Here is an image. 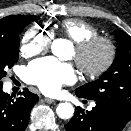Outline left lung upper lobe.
Listing matches in <instances>:
<instances>
[{"label":"left lung upper lobe","mask_w":131,"mask_h":131,"mask_svg":"<svg viewBox=\"0 0 131 131\" xmlns=\"http://www.w3.org/2000/svg\"><path fill=\"white\" fill-rule=\"evenodd\" d=\"M116 57L98 79L76 89V95L108 104L131 119V37L115 31Z\"/></svg>","instance_id":"1"}]
</instances>
